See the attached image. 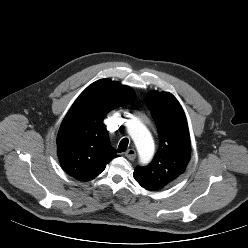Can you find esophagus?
I'll return each instance as SVG.
<instances>
[{"label":"esophagus","mask_w":248,"mask_h":248,"mask_svg":"<svg viewBox=\"0 0 248 248\" xmlns=\"http://www.w3.org/2000/svg\"><path fill=\"white\" fill-rule=\"evenodd\" d=\"M125 157L128 158L129 160H134L136 157V151L134 149H128L125 152Z\"/></svg>","instance_id":"34e87169"}]
</instances>
